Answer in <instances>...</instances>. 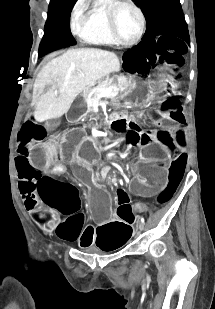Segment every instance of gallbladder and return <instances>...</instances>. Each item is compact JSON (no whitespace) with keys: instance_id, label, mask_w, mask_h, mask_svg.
Masks as SVG:
<instances>
[{"instance_id":"gallbladder-1","label":"gallbladder","mask_w":215,"mask_h":309,"mask_svg":"<svg viewBox=\"0 0 215 309\" xmlns=\"http://www.w3.org/2000/svg\"><path fill=\"white\" fill-rule=\"evenodd\" d=\"M48 88H49V86H48V84H46L44 90H48ZM52 130H56V127H52Z\"/></svg>"}]
</instances>
